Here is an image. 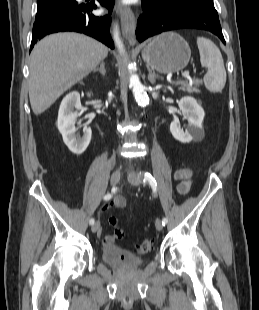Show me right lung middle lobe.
Instances as JSON below:
<instances>
[{"label": "right lung middle lobe", "mask_w": 259, "mask_h": 310, "mask_svg": "<svg viewBox=\"0 0 259 310\" xmlns=\"http://www.w3.org/2000/svg\"><path fill=\"white\" fill-rule=\"evenodd\" d=\"M77 5L75 0H37V14L50 9L69 8Z\"/></svg>", "instance_id": "1"}]
</instances>
